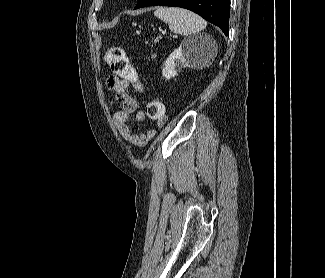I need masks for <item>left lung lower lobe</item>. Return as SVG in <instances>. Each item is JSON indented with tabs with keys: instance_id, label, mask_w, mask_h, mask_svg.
I'll use <instances>...</instances> for the list:
<instances>
[{
	"instance_id": "obj_1",
	"label": "left lung lower lobe",
	"mask_w": 325,
	"mask_h": 278,
	"mask_svg": "<svg viewBox=\"0 0 325 278\" xmlns=\"http://www.w3.org/2000/svg\"><path fill=\"white\" fill-rule=\"evenodd\" d=\"M155 5L189 9L229 34L230 0H139L135 9Z\"/></svg>"
}]
</instances>
